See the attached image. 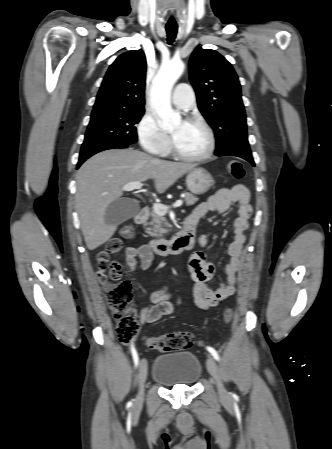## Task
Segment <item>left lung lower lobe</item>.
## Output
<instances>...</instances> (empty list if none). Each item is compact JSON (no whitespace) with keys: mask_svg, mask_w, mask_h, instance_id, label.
Instances as JSON below:
<instances>
[{"mask_svg":"<svg viewBox=\"0 0 332 449\" xmlns=\"http://www.w3.org/2000/svg\"><path fill=\"white\" fill-rule=\"evenodd\" d=\"M215 154L217 156H224V155L237 156V157H240V158H243V159L247 160L253 166H255V163H254V160H253L251 152H245V151H241V150H231V151H226V152H222V153H215Z\"/></svg>","mask_w":332,"mask_h":449,"instance_id":"1","label":"left lung lower lobe"}]
</instances>
